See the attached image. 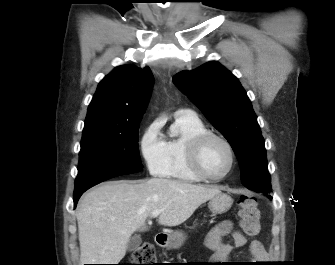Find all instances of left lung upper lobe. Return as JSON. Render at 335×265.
Here are the masks:
<instances>
[{"label": "left lung upper lobe", "mask_w": 335, "mask_h": 265, "mask_svg": "<svg viewBox=\"0 0 335 265\" xmlns=\"http://www.w3.org/2000/svg\"><path fill=\"white\" fill-rule=\"evenodd\" d=\"M172 80L230 143L239 161L243 185L269 193L265 141L238 79L218 62L210 61L193 71H182Z\"/></svg>", "instance_id": "left-lung-upper-lobe-1"}]
</instances>
